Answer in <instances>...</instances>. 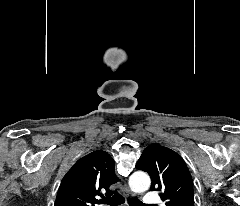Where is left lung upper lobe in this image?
Returning a JSON list of instances; mask_svg holds the SVG:
<instances>
[{"instance_id":"1","label":"left lung upper lobe","mask_w":240,"mask_h":206,"mask_svg":"<svg viewBox=\"0 0 240 206\" xmlns=\"http://www.w3.org/2000/svg\"><path fill=\"white\" fill-rule=\"evenodd\" d=\"M136 168L148 172L151 190L161 191L166 206H194L193 181L184 160L160 144L149 145Z\"/></svg>"}]
</instances>
